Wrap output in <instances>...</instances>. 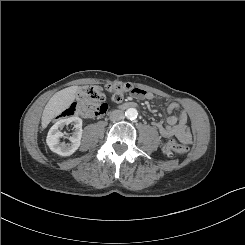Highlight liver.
Segmentation results:
<instances>
[{
	"mask_svg": "<svg viewBox=\"0 0 245 245\" xmlns=\"http://www.w3.org/2000/svg\"><path fill=\"white\" fill-rule=\"evenodd\" d=\"M77 90V86H71L58 91L50 98L43 110L41 118L43 129L48 126L52 119L70 106V104L75 100Z\"/></svg>",
	"mask_w": 245,
	"mask_h": 245,
	"instance_id": "6515ba94",
	"label": "liver"
}]
</instances>
